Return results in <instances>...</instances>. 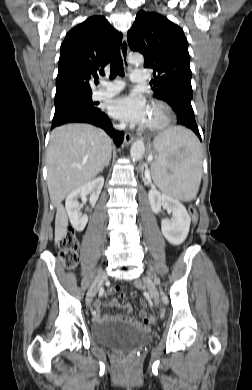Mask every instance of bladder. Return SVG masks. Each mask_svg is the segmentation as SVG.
Instances as JSON below:
<instances>
[{
    "label": "bladder",
    "instance_id": "31cf9c89",
    "mask_svg": "<svg viewBox=\"0 0 252 390\" xmlns=\"http://www.w3.org/2000/svg\"><path fill=\"white\" fill-rule=\"evenodd\" d=\"M91 339L104 347L131 352L151 342L152 335L128 324L106 321L92 325Z\"/></svg>",
    "mask_w": 252,
    "mask_h": 390
}]
</instances>
